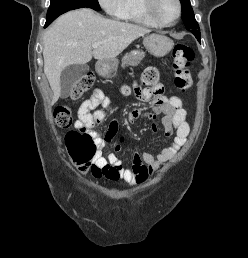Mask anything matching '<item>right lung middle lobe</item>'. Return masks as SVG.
I'll list each match as a JSON object with an SVG mask.
<instances>
[{
  "label": "right lung middle lobe",
  "mask_w": 248,
  "mask_h": 258,
  "mask_svg": "<svg viewBox=\"0 0 248 258\" xmlns=\"http://www.w3.org/2000/svg\"><path fill=\"white\" fill-rule=\"evenodd\" d=\"M83 7L92 8L96 11L100 10L98 0H51L47 12V21L54 20L67 11Z\"/></svg>",
  "instance_id": "obj_1"
}]
</instances>
